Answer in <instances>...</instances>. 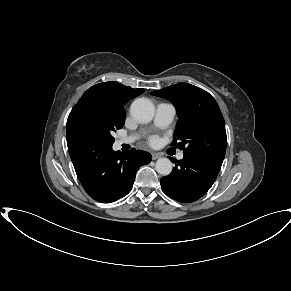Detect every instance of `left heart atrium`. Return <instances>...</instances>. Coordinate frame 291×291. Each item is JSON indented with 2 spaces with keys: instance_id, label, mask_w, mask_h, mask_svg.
I'll use <instances>...</instances> for the list:
<instances>
[{
  "instance_id": "obj_1",
  "label": "left heart atrium",
  "mask_w": 291,
  "mask_h": 291,
  "mask_svg": "<svg viewBox=\"0 0 291 291\" xmlns=\"http://www.w3.org/2000/svg\"><path fill=\"white\" fill-rule=\"evenodd\" d=\"M149 143L151 145H157L159 143V139L157 137H151L150 140H149Z\"/></svg>"
}]
</instances>
